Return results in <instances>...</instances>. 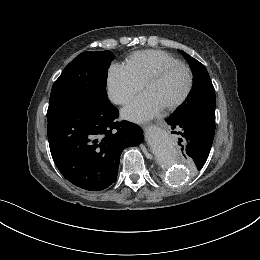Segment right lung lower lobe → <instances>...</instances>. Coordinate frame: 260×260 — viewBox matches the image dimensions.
<instances>
[{"label": "right lung lower lobe", "instance_id": "right-lung-lower-lobe-1", "mask_svg": "<svg viewBox=\"0 0 260 260\" xmlns=\"http://www.w3.org/2000/svg\"><path fill=\"white\" fill-rule=\"evenodd\" d=\"M118 109L110 102L85 111L69 109L47 114V135L52 158L72 184L100 191L117 180L124 148L141 143L142 129L117 122Z\"/></svg>", "mask_w": 260, "mask_h": 260}]
</instances>
